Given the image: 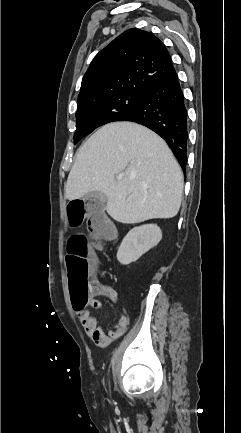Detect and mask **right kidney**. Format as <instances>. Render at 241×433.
<instances>
[{
    "label": "right kidney",
    "instance_id": "ca27d5eb",
    "mask_svg": "<svg viewBox=\"0 0 241 433\" xmlns=\"http://www.w3.org/2000/svg\"><path fill=\"white\" fill-rule=\"evenodd\" d=\"M161 239L162 231L156 224L135 227L124 237L117 252V260L123 265L135 262Z\"/></svg>",
    "mask_w": 241,
    "mask_h": 433
}]
</instances>
